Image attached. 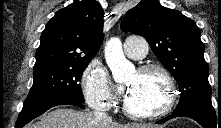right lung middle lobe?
Segmentation results:
<instances>
[{
	"instance_id": "dd1d6c3e",
	"label": "right lung middle lobe",
	"mask_w": 221,
	"mask_h": 128,
	"mask_svg": "<svg viewBox=\"0 0 221 128\" xmlns=\"http://www.w3.org/2000/svg\"><path fill=\"white\" fill-rule=\"evenodd\" d=\"M90 61L83 59L34 70L33 85L23 106L53 97H66L84 102L79 81Z\"/></svg>"
}]
</instances>
